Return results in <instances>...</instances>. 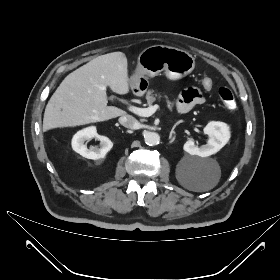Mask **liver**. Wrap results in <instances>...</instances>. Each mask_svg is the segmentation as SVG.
Here are the masks:
<instances>
[{
  "mask_svg": "<svg viewBox=\"0 0 280 280\" xmlns=\"http://www.w3.org/2000/svg\"><path fill=\"white\" fill-rule=\"evenodd\" d=\"M128 63L122 52L101 55L70 73L46 105L43 131L106 121L127 113L107 106V86L129 92Z\"/></svg>",
  "mask_w": 280,
  "mask_h": 280,
  "instance_id": "1",
  "label": "liver"
}]
</instances>
